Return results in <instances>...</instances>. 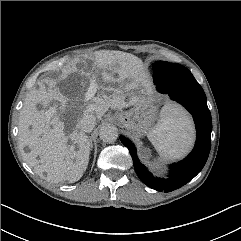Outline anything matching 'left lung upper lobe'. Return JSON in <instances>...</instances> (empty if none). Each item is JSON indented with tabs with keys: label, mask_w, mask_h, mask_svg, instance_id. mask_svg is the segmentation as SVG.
Returning <instances> with one entry per match:
<instances>
[{
	"label": "left lung upper lobe",
	"mask_w": 241,
	"mask_h": 241,
	"mask_svg": "<svg viewBox=\"0 0 241 241\" xmlns=\"http://www.w3.org/2000/svg\"><path fill=\"white\" fill-rule=\"evenodd\" d=\"M153 69L165 79L171 89L197 82L191 72L180 64L158 61L153 65Z\"/></svg>",
	"instance_id": "1"
}]
</instances>
